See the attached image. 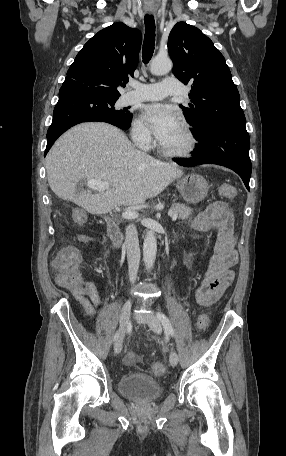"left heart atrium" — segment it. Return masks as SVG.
I'll list each match as a JSON object with an SVG mask.
<instances>
[{
    "instance_id": "obj_1",
    "label": "left heart atrium",
    "mask_w": 286,
    "mask_h": 456,
    "mask_svg": "<svg viewBox=\"0 0 286 456\" xmlns=\"http://www.w3.org/2000/svg\"><path fill=\"white\" fill-rule=\"evenodd\" d=\"M143 117L160 143L171 137L180 127L176 111L164 104H149L143 108Z\"/></svg>"
}]
</instances>
